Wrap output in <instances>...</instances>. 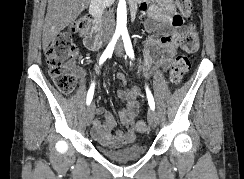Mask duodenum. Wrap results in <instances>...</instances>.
<instances>
[{"label": "duodenum", "instance_id": "duodenum-1", "mask_svg": "<svg viewBox=\"0 0 244 179\" xmlns=\"http://www.w3.org/2000/svg\"><path fill=\"white\" fill-rule=\"evenodd\" d=\"M130 13L132 15L138 14V12L135 10V7L130 8ZM90 14H91L92 18L94 19L95 29L92 32V34L89 36V41L96 48L98 46H101V44L103 43V38H102V34H101L102 33L101 26L99 23V17H100L99 4L97 2L92 3V8H91Z\"/></svg>", "mask_w": 244, "mask_h": 179}]
</instances>
